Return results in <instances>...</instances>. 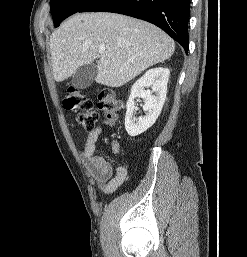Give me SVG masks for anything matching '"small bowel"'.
I'll return each instance as SVG.
<instances>
[{
  "label": "small bowel",
  "instance_id": "obj_1",
  "mask_svg": "<svg viewBox=\"0 0 247 257\" xmlns=\"http://www.w3.org/2000/svg\"><path fill=\"white\" fill-rule=\"evenodd\" d=\"M105 124L110 125L109 122ZM101 133L102 127H96L89 132L81 155L91 175L96 180L99 191L104 194H111L125 181L127 169L119 165L115 169V175H113L111 164L97 154L96 142ZM110 148L114 155H119L121 152V145L117 140L111 142Z\"/></svg>",
  "mask_w": 247,
  "mask_h": 257
}]
</instances>
